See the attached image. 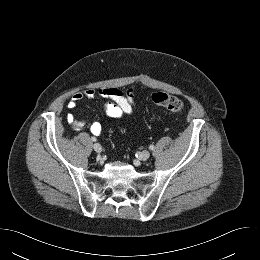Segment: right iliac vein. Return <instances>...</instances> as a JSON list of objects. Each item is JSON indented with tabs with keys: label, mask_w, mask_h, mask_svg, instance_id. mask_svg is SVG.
I'll list each match as a JSON object with an SVG mask.
<instances>
[{
	"label": "right iliac vein",
	"mask_w": 260,
	"mask_h": 260,
	"mask_svg": "<svg viewBox=\"0 0 260 260\" xmlns=\"http://www.w3.org/2000/svg\"><path fill=\"white\" fill-rule=\"evenodd\" d=\"M93 149H94L95 152H97V153H101V151H102V147H101V145H100L99 143H94V144H93Z\"/></svg>",
	"instance_id": "63e3f726"
}]
</instances>
